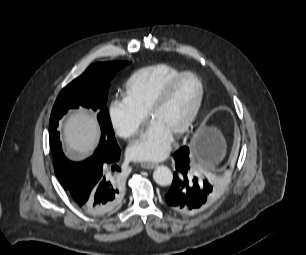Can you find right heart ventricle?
Returning a JSON list of instances; mask_svg holds the SVG:
<instances>
[{
	"label": "right heart ventricle",
	"instance_id": "e07e8e85",
	"mask_svg": "<svg viewBox=\"0 0 306 255\" xmlns=\"http://www.w3.org/2000/svg\"><path fill=\"white\" fill-rule=\"evenodd\" d=\"M182 72L165 63L142 67L126 81L123 91L124 100L145 116L150 104L162 88Z\"/></svg>",
	"mask_w": 306,
	"mask_h": 255
}]
</instances>
